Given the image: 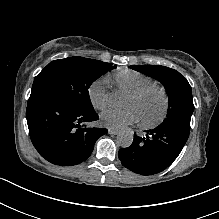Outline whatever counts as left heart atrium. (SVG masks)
<instances>
[{
	"label": "left heart atrium",
	"instance_id": "left-heart-atrium-1",
	"mask_svg": "<svg viewBox=\"0 0 219 219\" xmlns=\"http://www.w3.org/2000/svg\"><path fill=\"white\" fill-rule=\"evenodd\" d=\"M101 123L110 129H123L127 126L137 123L141 118L135 107L126 109H109L101 113Z\"/></svg>",
	"mask_w": 219,
	"mask_h": 219
}]
</instances>
